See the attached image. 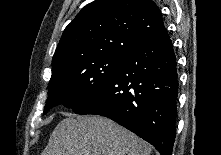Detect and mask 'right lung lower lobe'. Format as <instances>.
<instances>
[{
  "label": "right lung lower lobe",
  "instance_id": "right-lung-lower-lobe-1",
  "mask_svg": "<svg viewBox=\"0 0 221 155\" xmlns=\"http://www.w3.org/2000/svg\"><path fill=\"white\" fill-rule=\"evenodd\" d=\"M178 74L166 30L137 43L109 82L78 114L108 117L172 155Z\"/></svg>",
  "mask_w": 221,
  "mask_h": 155
}]
</instances>
